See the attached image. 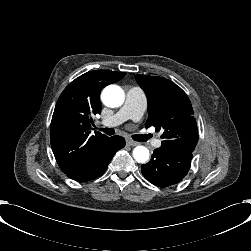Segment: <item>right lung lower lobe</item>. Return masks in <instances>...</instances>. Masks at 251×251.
Wrapping results in <instances>:
<instances>
[{
	"instance_id": "98d812e1",
	"label": "right lung lower lobe",
	"mask_w": 251,
	"mask_h": 251,
	"mask_svg": "<svg viewBox=\"0 0 251 251\" xmlns=\"http://www.w3.org/2000/svg\"><path fill=\"white\" fill-rule=\"evenodd\" d=\"M125 146V139L121 136L109 137L99 146L88 162L66 175L78 182H88L102 175L114 154Z\"/></svg>"
}]
</instances>
